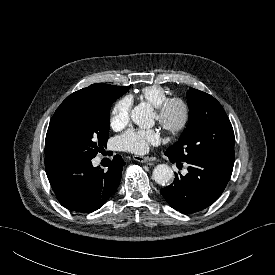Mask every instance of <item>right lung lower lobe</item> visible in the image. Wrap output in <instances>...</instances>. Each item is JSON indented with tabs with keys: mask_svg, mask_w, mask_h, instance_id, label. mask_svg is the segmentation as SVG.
<instances>
[{
	"mask_svg": "<svg viewBox=\"0 0 275 275\" xmlns=\"http://www.w3.org/2000/svg\"><path fill=\"white\" fill-rule=\"evenodd\" d=\"M125 164L116 155L107 172L93 167L91 159L51 157L45 159V170L51 187L65 208L80 213L99 209L115 192Z\"/></svg>",
	"mask_w": 275,
	"mask_h": 275,
	"instance_id": "right-lung-lower-lobe-1",
	"label": "right lung lower lobe"
}]
</instances>
